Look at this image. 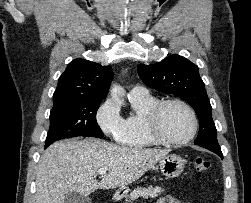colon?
I'll use <instances>...</instances> for the list:
<instances>
[{
	"instance_id": "1",
	"label": "colon",
	"mask_w": 251,
	"mask_h": 203,
	"mask_svg": "<svg viewBox=\"0 0 251 203\" xmlns=\"http://www.w3.org/2000/svg\"><path fill=\"white\" fill-rule=\"evenodd\" d=\"M194 167L197 172H205L209 169L210 163L203 157H196L194 160Z\"/></svg>"
}]
</instances>
